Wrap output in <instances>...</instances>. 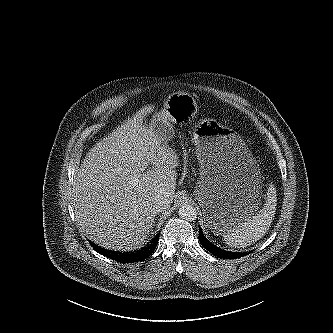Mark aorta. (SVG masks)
<instances>
[{
	"instance_id": "obj_1",
	"label": "aorta",
	"mask_w": 333,
	"mask_h": 333,
	"mask_svg": "<svg viewBox=\"0 0 333 333\" xmlns=\"http://www.w3.org/2000/svg\"><path fill=\"white\" fill-rule=\"evenodd\" d=\"M178 214L180 218L186 221H194L197 218V210L189 204H184L179 208Z\"/></svg>"
}]
</instances>
